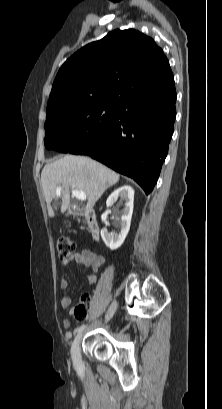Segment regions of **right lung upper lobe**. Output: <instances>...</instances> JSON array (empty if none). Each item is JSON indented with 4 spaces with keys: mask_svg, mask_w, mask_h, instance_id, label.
<instances>
[{
    "mask_svg": "<svg viewBox=\"0 0 222 409\" xmlns=\"http://www.w3.org/2000/svg\"><path fill=\"white\" fill-rule=\"evenodd\" d=\"M172 73L155 41L134 30H114L72 55L60 68L47 113L72 105L122 103L169 88L163 75Z\"/></svg>",
    "mask_w": 222,
    "mask_h": 409,
    "instance_id": "obj_1",
    "label": "right lung upper lobe"
}]
</instances>
